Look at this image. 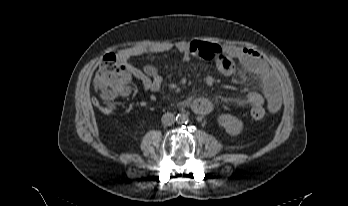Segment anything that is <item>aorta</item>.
Returning <instances> with one entry per match:
<instances>
[{
  "label": "aorta",
  "mask_w": 348,
  "mask_h": 206,
  "mask_svg": "<svg viewBox=\"0 0 348 206\" xmlns=\"http://www.w3.org/2000/svg\"><path fill=\"white\" fill-rule=\"evenodd\" d=\"M176 121L178 124H187L189 121V116L186 113H180L177 115Z\"/></svg>",
  "instance_id": "obj_1"
}]
</instances>
